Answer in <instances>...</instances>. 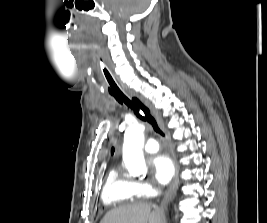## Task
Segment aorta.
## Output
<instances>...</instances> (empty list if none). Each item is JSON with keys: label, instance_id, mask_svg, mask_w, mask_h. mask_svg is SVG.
I'll return each mask as SVG.
<instances>
[{"label": "aorta", "instance_id": "762f6f07", "mask_svg": "<svg viewBox=\"0 0 267 223\" xmlns=\"http://www.w3.org/2000/svg\"><path fill=\"white\" fill-rule=\"evenodd\" d=\"M144 144V126L131 125L125 131L123 144V161L132 176H139L147 172L142 148Z\"/></svg>", "mask_w": 267, "mask_h": 223}]
</instances>
